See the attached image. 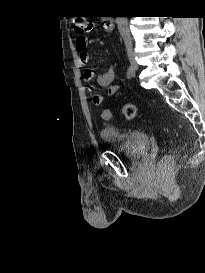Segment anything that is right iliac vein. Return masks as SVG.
I'll use <instances>...</instances> for the list:
<instances>
[{"label": "right iliac vein", "mask_w": 205, "mask_h": 273, "mask_svg": "<svg viewBox=\"0 0 205 273\" xmlns=\"http://www.w3.org/2000/svg\"><path fill=\"white\" fill-rule=\"evenodd\" d=\"M128 59H129V62L132 66V68L134 69V71H137L138 70V64L136 62V59H135V54L132 50H128Z\"/></svg>", "instance_id": "obj_1"}]
</instances>
